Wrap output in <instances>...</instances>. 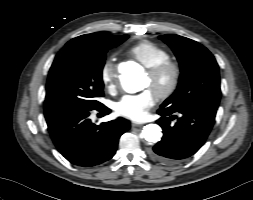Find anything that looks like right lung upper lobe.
<instances>
[{
    "mask_svg": "<svg viewBox=\"0 0 253 200\" xmlns=\"http://www.w3.org/2000/svg\"><path fill=\"white\" fill-rule=\"evenodd\" d=\"M114 35L105 34V33H92L85 34L79 37H76L69 41L68 43H78L85 45H98L99 43L106 41L112 38Z\"/></svg>",
    "mask_w": 253,
    "mask_h": 200,
    "instance_id": "1",
    "label": "right lung upper lobe"
}]
</instances>
